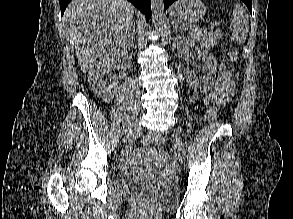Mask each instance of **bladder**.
<instances>
[{
	"label": "bladder",
	"instance_id": "obj_1",
	"mask_svg": "<svg viewBox=\"0 0 293 219\" xmlns=\"http://www.w3.org/2000/svg\"><path fill=\"white\" fill-rule=\"evenodd\" d=\"M113 182L117 190L141 195L162 207L173 206L178 200V192L172 185L155 183L130 173H116Z\"/></svg>",
	"mask_w": 293,
	"mask_h": 219
}]
</instances>
